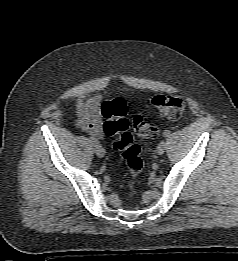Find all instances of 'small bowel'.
<instances>
[{
  "label": "small bowel",
  "mask_w": 238,
  "mask_h": 261,
  "mask_svg": "<svg viewBox=\"0 0 238 261\" xmlns=\"http://www.w3.org/2000/svg\"><path fill=\"white\" fill-rule=\"evenodd\" d=\"M102 99L92 95L78 99L76 103V124L96 139L104 137Z\"/></svg>",
  "instance_id": "c3829d8e"
}]
</instances>
